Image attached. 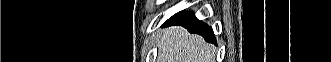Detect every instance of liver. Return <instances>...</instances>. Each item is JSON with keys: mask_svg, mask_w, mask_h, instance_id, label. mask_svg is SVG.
<instances>
[{"mask_svg": "<svg viewBox=\"0 0 331 62\" xmlns=\"http://www.w3.org/2000/svg\"><path fill=\"white\" fill-rule=\"evenodd\" d=\"M158 62H214V49L198 35L184 28L171 27L163 31L158 41Z\"/></svg>", "mask_w": 331, "mask_h": 62, "instance_id": "liver-1", "label": "liver"}]
</instances>
